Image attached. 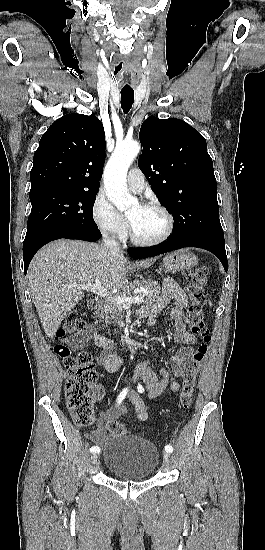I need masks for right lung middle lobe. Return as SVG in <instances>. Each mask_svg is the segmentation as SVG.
<instances>
[{"label": "right lung middle lobe", "instance_id": "1", "mask_svg": "<svg viewBox=\"0 0 265 550\" xmlns=\"http://www.w3.org/2000/svg\"><path fill=\"white\" fill-rule=\"evenodd\" d=\"M96 194L55 188L30 191L32 209L23 246L64 228L98 229L92 215Z\"/></svg>", "mask_w": 265, "mask_h": 550}]
</instances>
